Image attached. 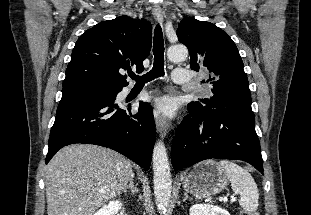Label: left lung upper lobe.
<instances>
[{
  "instance_id": "5c2ea615",
  "label": "left lung upper lobe",
  "mask_w": 311,
  "mask_h": 215,
  "mask_svg": "<svg viewBox=\"0 0 311 215\" xmlns=\"http://www.w3.org/2000/svg\"><path fill=\"white\" fill-rule=\"evenodd\" d=\"M179 42L190 53L193 70L208 71L212 95L188 105L198 109H251L247 76L238 49L229 35L210 22L183 19L177 29Z\"/></svg>"
}]
</instances>
